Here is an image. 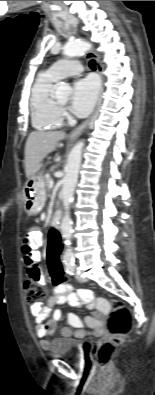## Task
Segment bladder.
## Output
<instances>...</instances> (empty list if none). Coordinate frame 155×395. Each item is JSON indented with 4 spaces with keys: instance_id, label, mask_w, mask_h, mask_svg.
Listing matches in <instances>:
<instances>
[{
    "instance_id": "1",
    "label": "bladder",
    "mask_w": 155,
    "mask_h": 395,
    "mask_svg": "<svg viewBox=\"0 0 155 395\" xmlns=\"http://www.w3.org/2000/svg\"><path fill=\"white\" fill-rule=\"evenodd\" d=\"M50 354L55 358H68L79 361L85 356V346L77 339L57 338L51 342Z\"/></svg>"
}]
</instances>
